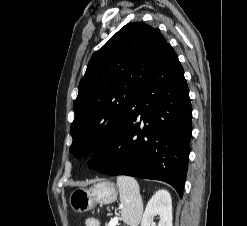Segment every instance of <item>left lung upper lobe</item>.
Masks as SVG:
<instances>
[{"label": "left lung upper lobe", "instance_id": "1", "mask_svg": "<svg viewBox=\"0 0 247 226\" xmlns=\"http://www.w3.org/2000/svg\"><path fill=\"white\" fill-rule=\"evenodd\" d=\"M166 44L158 29L132 22L93 54L74 101L75 157L97 153L115 139Z\"/></svg>", "mask_w": 247, "mask_h": 226}]
</instances>
